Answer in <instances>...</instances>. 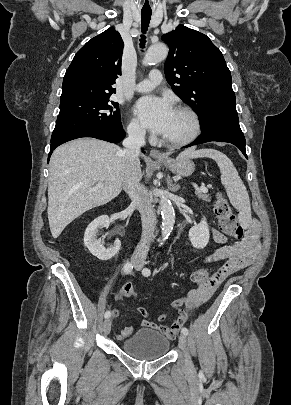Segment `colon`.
Returning <instances> with one entry per match:
<instances>
[{"label":"colon","instance_id":"5ec220e1","mask_svg":"<svg viewBox=\"0 0 291 405\" xmlns=\"http://www.w3.org/2000/svg\"><path fill=\"white\" fill-rule=\"evenodd\" d=\"M214 212L218 219V224L222 232L230 237L241 239L244 235V230L238 223L235 215L233 214L227 200L221 195L218 196ZM210 272L207 269H198L192 274V281L196 284H203L211 279ZM121 296L132 298L135 296L134 288L131 284L127 283L121 287Z\"/></svg>","mask_w":291,"mask_h":405}]
</instances>
